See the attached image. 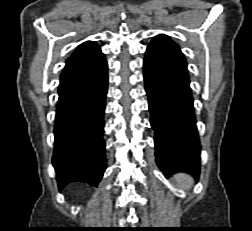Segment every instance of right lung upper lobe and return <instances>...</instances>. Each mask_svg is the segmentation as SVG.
I'll list each match as a JSON object with an SVG mask.
<instances>
[{
	"mask_svg": "<svg viewBox=\"0 0 252 231\" xmlns=\"http://www.w3.org/2000/svg\"><path fill=\"white\" fill-rule=\"evenodd\" d=\"M107 71V62L96 42L80 44L67 59L60 76L58 94L79 87Z\"/></svg>",
	"mask_w": 252,
	"mask_h": 231,
	"instance_id": "obj_1",
	"label": "right lung upper lobe"
}]
</instances>
